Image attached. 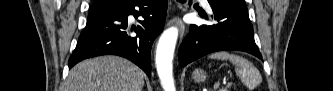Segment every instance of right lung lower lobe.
Here are the masks:
<instances>
[{"mask_svg":"<svg viewBox=\"0 0 333 91\" xmlns=\"http://www.w3.org/2000/svg\"><path fill=\"white\" fill-rule=\"evenodd\" d=\"M140 8V12L135 7ZM167 0H132L129 4L110 10L91 11L85 29L69 59V68L78 62L100 55H118L138 65L150 77L151 47L163 30ZM142 15L144 21L132 26L137 35L129 34L127 18Z\"/></svg>","mask_w":333,"mask_h":91,"instance_id":"obj_1","label":"right lung lower lobe"}]
</instances>
